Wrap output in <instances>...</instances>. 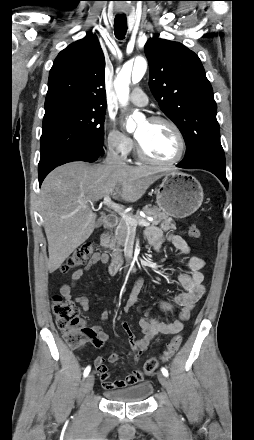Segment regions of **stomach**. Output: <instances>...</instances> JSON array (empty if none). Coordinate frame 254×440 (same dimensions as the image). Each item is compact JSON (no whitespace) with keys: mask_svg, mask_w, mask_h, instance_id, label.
Instances as JSON below:
<instances>
[{"mask_svg":"<svg viewBox=\"0 0 254 440\" xmlns=\"http://www.w3.org/2000/svg\"><path fill=\"white\" fill-rule=\"evenodd\" d=\"M203 196L202 186L195 177L180 171H169L158 186L156 202L166 215L182 219L199 209Z\"/></svg>","mask_w":254,"mask_h":440,"instance_id":"1","label":"stomach"}]
</instances>
